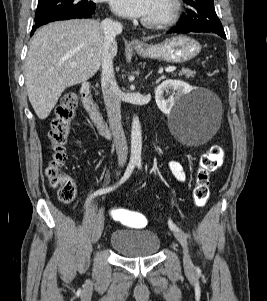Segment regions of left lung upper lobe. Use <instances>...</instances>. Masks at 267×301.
Returning a JSON list of instances; mask_svg holds the SVG:
<instances>
[{
    "label": "left lung upper lobe",
    "mask_w": 267,
    "mask_h": 301,
    "mask_svg": "<svg viewBox=\"0 0 267 301\" xmlns=\"http://www.w3.org/2000/svg\"><path fill=\"white\" fill-rule=\"evenodd\" d=\"M187 6V14H183L178 26H193L224 34L220 20L214 9L213 0H183Z\"/></svg>",
    "instance_id": "1"
}]
</instances>
